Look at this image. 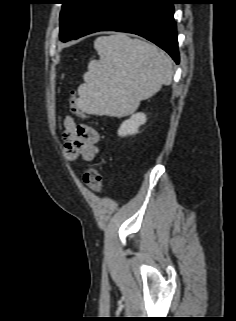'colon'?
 I'll list each match as a JSON object with an SVG mask.
<instances>
[{"label": "colon", "mask_w": 236, "mask_h": 321, "mask_svg": "<svg viewBox=\"0 0 236 321\" xmlns=\"http://www.w3.org/2000/svg\"><path fill=\"white\" fill-rule=\"evenodd\" d=\"M69 104L70 109L74 114L80 117H85V113L80 108L78 98L73 90H71L69 93ZM83 179L90 190H92L95 193H99L101 191L103 181L102 175L96 167H88L84 173Z\"/></svg>", "instance_id": "1"}]
</instances>
